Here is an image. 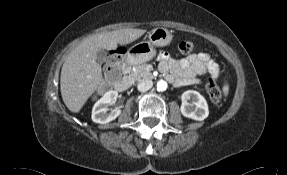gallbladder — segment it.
Returning a JSON list of instances; mask_svg holds the SVG:
<instances>
[{"label":"gallbladder","instance_id":"gallbladder-1","mask_svg":"<svg viewBox=\"0 0 287 175\" xmlns=\"http://www.w3.org/2000/svg\"><path fill=\"white\" fill-rule=\"evenodd\" d=\"M107 54L103 49L98 50L97 52V62L103 64L106 61Z\"/></svg>","mask_w":287,"mask_h":175}]
</instances>
